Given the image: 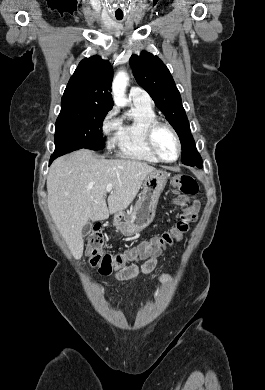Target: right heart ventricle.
<instances>
[{
	"label": "right heart ventricle",
	"mask_w": 265,
	"mask_h": 390,
	"mask_svg": "<svg viewBox=\"0 0 265 390\" xmlns=\"http://www.w3.org/2000/svg\"><path fill=\"white\" fill-rule=\"evenodd\" d=\"M154 120H157V115L151 104L133 103L128 117L120 120L113 139L120 157L147 163L159 162L148 150L144 139L146 126Z\"/></svg>",
	"instance_id": "obj_1"
}]
</instances>
